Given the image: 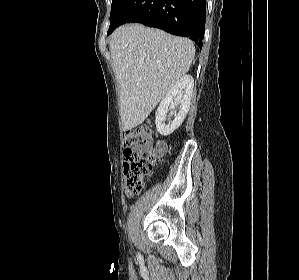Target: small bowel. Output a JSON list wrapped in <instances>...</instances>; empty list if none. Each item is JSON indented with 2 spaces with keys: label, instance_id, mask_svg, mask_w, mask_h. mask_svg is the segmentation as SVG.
Instances as JSON below:
<instances>
[{
  "label": "small bowel",
  "instance_id": "small-bowel-1",
  "mask_svg": "<svg viewBox=\"0 0 299 280\" xmlns=\"http://www.w3.org/2000/svg\"><path fill=\"white\" fill-rule=\"evenodd\" d=\"M150 149V146H145L144 150L148 151ZM167 152V145L163 141H159L156 143V153L158 157L163 156Z\"/></svg>",
  "mask_w": 299,
  "mask_h": 280
}]
</instances>
